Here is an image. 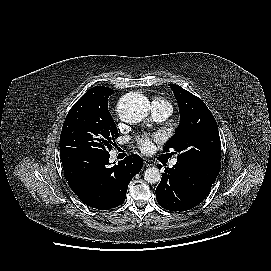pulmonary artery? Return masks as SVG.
<instances>
[{
    "label": "pulmonary artery",
    "instance_id": "pulmonary-artery-1",
    "mask_svg": "<svg viewBox=\"0 0 271 271\" xmlns=\"http://www.w3.org/2000/svg\"><path fill=\"white\" fill-rule=\"evenodd\" d=\"M171 106L162 101H154L151 105V113L156 121H163L171 114ZM177 163L174 159L171 161L170 166L173 167Z\"/></svg>",
    "mask_w": 271,
    "mask_h": 271
}]
</instances>
